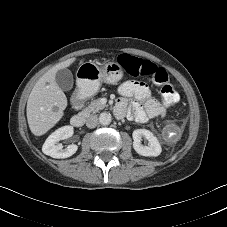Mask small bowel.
<instances>
[{
    "label": "small bowel",
    "instance_id": "small-bowel-1",
    "mask_svg": "<svg viewBox=\"0 0 227 227\" xmlns=\"http://www.w3.org/2000/svg\"><path fill=\"white\" fill-rule=\"evenodd\" d=\"M118 92L120 95L116 107V115L134 119L137 122L144 123L151 118L164 117L167 114L166 107L155 98L147 84L140 81L129 80L123 82ZM133 98L128 105V99Z\"/></svg>",
    "mask_w": 227,
    "mask_h": 227
}]
</instances>
